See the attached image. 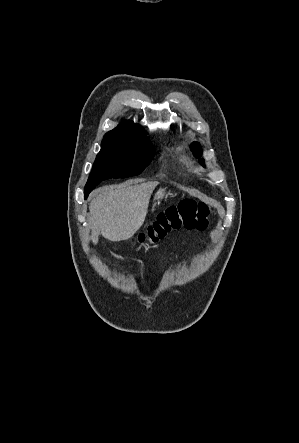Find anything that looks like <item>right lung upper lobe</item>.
Returning <instances> with one entry per match:
<instances>
[{
    "label": "right lung upper lobe",
    "instance_id": "1",
    "mask_svg": "<svg viewBox=\"0 0 299 443\" xmlns=\"http://www.w3.org/2000/svg\"><path fill=\"white\" fill-rule=\"evenodd\" d=\"M143 132V129L139 125H135L132 122L126 121L121 123L117 128L106 133L104 138L123 136V135H136Z\"/></svg>",
    "mask_w": 299,
    "mask_h": 443
}]
</instances>
